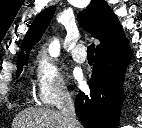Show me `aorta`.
<instances>
[{
  "label": "aorta",
  "mask_w": 142,
  "mask_h": 128,
  "mask_svg": "<svg viewBox=\"0 0 142 128\" xmlns=\"http://www.w3.org/2000/svg\"><path fill=\"white\" fill-rule=\"evenodd\" d=\"M50 54L53 56H57L60 52V44L58 40H55L51 43L49 47Z\"/></svg>",
  "instance_id": "obj_1"
}]
</instances>
